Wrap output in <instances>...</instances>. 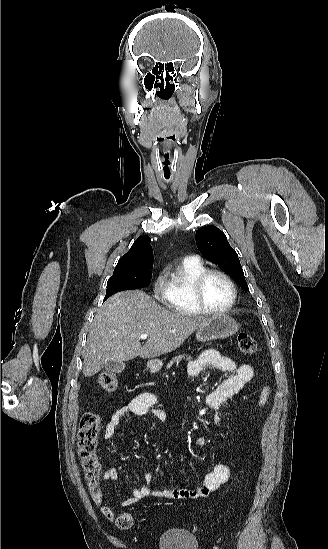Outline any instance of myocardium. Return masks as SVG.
I'll return each mask as SVG.
<instances>
[{
  "label": "myocardium",
  "instance_id": "obj_1",
  "mask_svg": "<svg viewBox=\"0 0 328 549\" xmlns=\"http://www.w3.org/2000/svg\"><path fill=\"white\" fill-rule=\"evenodd\" d=\"M214 274L220 275L223 278H225L232 290V297L229 304L221 310H210L202 306L206 304V301L203 295L204 284L208 279V277ZM192 297L195 304L191 305V308L196 313L200 315L220 318L228 315L234 309L237 302V298H238V289L234 279L228 272H226L225 270H223L218 266H211V267H207L205 270L199 273V275L195 278L192 286Z\"/></svg>",
  "mask_w": 328,
  "mask_h": 549
}]
</instances>
